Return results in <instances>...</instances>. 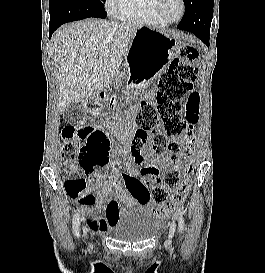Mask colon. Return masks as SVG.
<instances>
[{
  "label": "colon",
  "mask_w": 265,
  "mask_h": 273,
  "mask_svg": "<svg viewBox=\"0 0 265 273\" xmlns=\"http://www.w3.org/2000/svg\"><path fill=\"white\" fill-rule=\"evenodd\" d=\"M179 52L180 58L171 62L169 71L160 79L156 103L145 102L140 107L136 115L138 130L131 146V155L138 164L143 162V148L149 137L154 155H170L172 167L151 193L155 203L165 206H172L186 194L187 185L182 179L191 171L192 151L198 145L194 125L199 120L200 95L192 91V86L198 76L195 61L199 51L194 46L182 45ZM62 137L63 156L68 161L65 169L70 175L65 191L71 198L78 197L87 192L84 175L108 165L110 141L104 131L91 125L67 126ZM75 159L77 164L72 162ZM152 171L158 174L157 170ZM110 210H116L114 203L110 204Z\"/></svg>",
  "instance_id": "obj_1"
}]
</instances>
